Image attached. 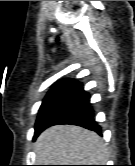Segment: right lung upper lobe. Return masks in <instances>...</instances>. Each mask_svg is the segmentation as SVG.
<instances>
[{"label":"right lung upper lobe","mask_w":135,"mask_h":166,"mask_svg":"<svg viewBox=\"0 0 135 166\" xmlns=\"http://www.w3.org/2000/svg\"><path fill=\"white\" fill-rule=\"evenodd\" d=\"M77 83V81L72 80V79H64V80H60L58 82H56L51 89L49 90L48 94H52L54 92H58L61 91L63 89H67L69 88L72 84Z\"/></svg>","instance_id":"cb5924a9"}]
</instances>
